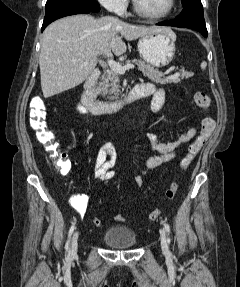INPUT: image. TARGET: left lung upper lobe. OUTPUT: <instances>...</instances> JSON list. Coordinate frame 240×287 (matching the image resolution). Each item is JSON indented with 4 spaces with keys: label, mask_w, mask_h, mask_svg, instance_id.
<instances>
[{
    "label": "left lung upper lobe",
    "mask_w": 240,
    "mask_h": 287,
    "mask_svg": "<svg viewBox=\"0 0 240 287\" xmlns=\"http://www.w3.org/2000/svg\"><path fill=\"white\" fill-rule=\"evenodd\" d=\"M182 1V4H184L185 2L189 1V0H181Z\"/></svg>",
    "instance_id": "5c2ea615"
}]
</instances>
